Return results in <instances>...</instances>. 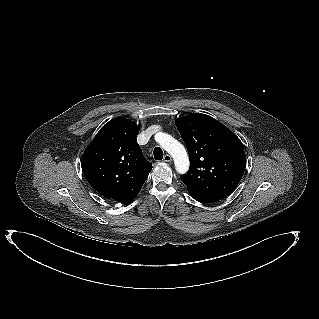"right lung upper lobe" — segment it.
<instances>
[{"instance_id":"obj_1","label":"right lung upper lobe","mask_w":319,"mask_h":319,"mask_svg":"<svg viewBox=\"0 0 319 319\" xmlns=\"http://www.w3.org/2000/svg\"><path fill=\"white\" fill-rule=\"evenodd\" d=\"M138 133L133 121H109L86 148L81 162L92 188L124 205L137 196L152 169L137 143Z\"/></svg>"}]
</instances>
